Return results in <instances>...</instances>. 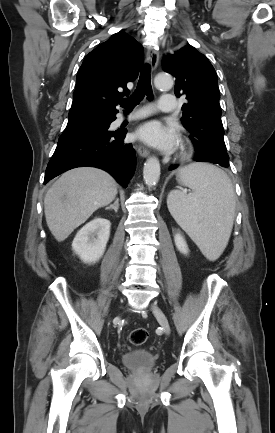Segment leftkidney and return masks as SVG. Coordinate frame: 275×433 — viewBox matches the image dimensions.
Returning a JSON list of instances; mask_svg holds the SVG:
<instances>
[{
  "label": "left kidney",
  "instance_id": "left-kidney-1",
  "mask_svg": "<svg viewBox=\"0 0 275 433\" xmlns=\"http://www.w3.org/2000/svg\"><path fill=\"white\" fill-rule=\"evenodd\" d=\"M174 241H175V245L177 247V249L183 253V254H187L188 253V246L183 238V236L181 234H176L174 236Z\"/></svg>",
  "mask_w": 275,
  "mask_h": 433
}]
</instances>
